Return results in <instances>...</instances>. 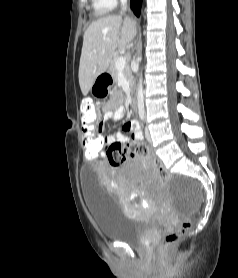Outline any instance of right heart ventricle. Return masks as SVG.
<instances>
[{"instance_id": "obj_1", "label": "right heart ventricle", "mask_w": 238, "mask_h": 278, "mask_svg": "<svg viewBox=\"0 0 238 278\" xmlns=\"http://www.w3.org/2000/svg\"><path fill=\"white\" fill-rule=\"evenodd\" d=\"M92 8L96 16H103L109 13L115 6L113 0H91Z\"/></svg>"}]
</instances>
